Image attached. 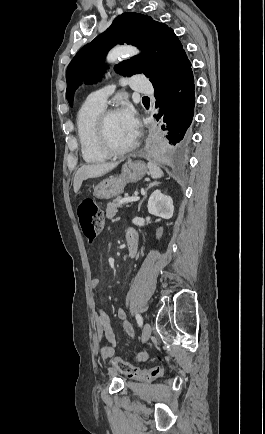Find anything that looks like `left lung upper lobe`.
Instances as JSON below:
<instances>
[{
	"instance_id": "obj_1",
	"label": "left lung upper lobe",
	"mask_w": 265,
	"mask_h": 434,
	"mask_svg": "<svg viewBox=\"0 0 265 434\" xmlns=\"http://www.w3.org/2000/svg\"><path fill=\"white\" fill-rule=\"evenodd\" d=\"M122 43L136 45L143 51L115 69L124 76L143 73L150 78L154 88L164 82L178 59L186 54L173 29L166 24L148 15L123 13L103 34L81 48L68 65L66 96L70 106L76 88L82 81L99 80L105 71V55L115 44Z\"/></svg>"
}]
</instances>
